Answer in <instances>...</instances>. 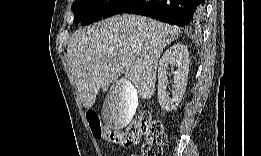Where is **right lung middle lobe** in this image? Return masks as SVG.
Masks as SVG:
<instances>
[{
    "label": "right lung middle lobe",
    "mask_w": 261,
    "mask_h": 156,
    "mask_svg": "<svg viewBox=\"0 0 261 156\" xmlns=\"http://www.w3.org/2000/svg\"><path fill=\"white\" fill-rule=\"evenodd\" d=\"M121 0H75L72 5L73 23L82 26L104 18L108 12L115 9Z\"/></svg>",
    "instance_id": "1"
}]
</instances>
